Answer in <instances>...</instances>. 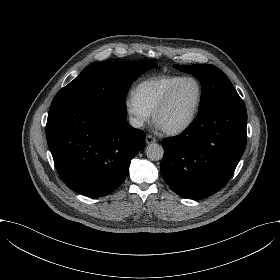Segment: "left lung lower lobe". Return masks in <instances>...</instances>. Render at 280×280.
I'll use <instances>...</instances> for the list:
<instances>
[{
    "mask_svg": "<svg viewBox=\"0 0 280 280\" xmlns=\"http://www.w3.org/2000/svg\"><path fill=\"white\" fill-rule=\"evenodd\" d=\"M247 111L240 97L198 113L180 135L164 139L161 174L178 195L200 200L226 185L246 147Z\"/></svg>",
    "mask_w": 280,
    "mask_h": 280,
    "instance_id": "1",
    "label": "left lung lower lobe"
}]
</instances>
